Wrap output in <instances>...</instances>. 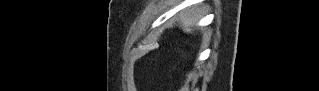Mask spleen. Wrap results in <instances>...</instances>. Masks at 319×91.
<instances>
[{
    "mask_svg": "<svg viewBox=\"0 0 319 91\" xmlns=\"http://www.w3.org/2000/svg\"><path fill=\"white\" fill-rule=\"evenodd\" d=\"M179 16H180L181 22L183 24L184 30L186 32H191V30H192L191 28L195 24L196 20L186 13H181Z\"/></svg>",
    "mask_w": 319,
    "mask_h": 91,
    "instance_id": "1",
    "label": "spleen"
}]
</instances>
